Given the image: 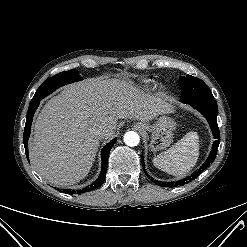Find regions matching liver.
<instances>
[{"label":"liver","instance_id":"1","mask_svg":"<svg viewBox=\"0 0 247 247\" xmlns=\"http://www.w3.org/2000/svg\"><path fill=\"white\" fill-rule=\"evenodd\" d=\"M173 112L165 99L138 89L132 82L91 78L68 85L38 114L30 147L33 168L49 183L70 187L84 179L100 140L111 138L118 119L149 121ZM105 127L103 137L95 135Z\"/></svg>","mask_w":247,"mask_h":247}]
</instances>
